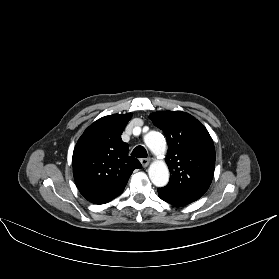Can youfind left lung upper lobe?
I'll return each mask as SVG.
<instances>
[{"label":"left lung upper lobe","instance_id":"5c2ea615","mask_svg":"<svg viewBox=\"0 0 279 279\" xmlns=\"http://www.w3.org/2000/svg\"><path fill=\"white\" fill-rule=\"evenodd\" d=\"M149 118L164 132L168 143L166 162L171 176L158 192L190 203L198 200L208 190L214 174L215 148L210 134L186 112H154Z\"/></svg>","mask_w":279,"mask_h":279}]
</instances>
